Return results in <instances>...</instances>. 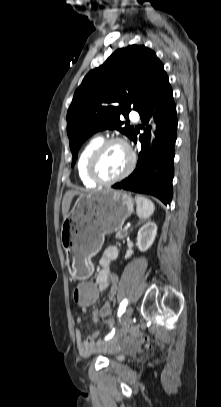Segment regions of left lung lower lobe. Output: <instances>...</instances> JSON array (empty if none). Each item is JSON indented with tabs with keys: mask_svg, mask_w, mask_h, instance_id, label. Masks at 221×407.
I'll return each instance as SVG.
<instances>
[{
	"mask_svg": "<svg viewBox=\"0 0 221 407\" xmlns=\"http://www.w3.org/2000/svg\"><path fill=\"white\" fill-rule=\"evenodd\" d=\"M155 110L157 131L156 140L150 151V127L140 135L142 150L134 172L126 179L112 186L137 193L153 195L165 205L172 199V180L174 175V145L177 138L176 105L168 77H164L150 100L138 111L142 122L147 125ZM132 140L137 141L136 134Z\"/></svg>",
	"mask_w": 221,
	"mask_h": 407,
	"instance_id": "1",
	"label": "left lung lower lobe"
}]
</instances>
